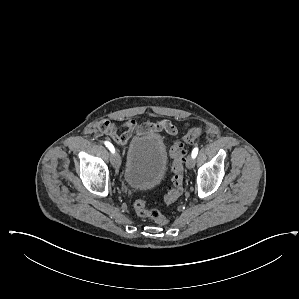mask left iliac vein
Returning <instances> with one entry per match:
<instances>
[{
  "label": "left iliac vein",
  "instance_id": "obj_1",
  "mask_svg": "<svg viewBox=\"0 0 299 299\" xmlns=\"http://www.w3.org/2000/svg\"><path fill=\"white\" fill-rule=\"evenodd\" d=\"M194 165H195L194 158L192 157V155H189L186 159V167L192 169Z\"/></svg>",
  "mask_w": 299,
  "mask_h": 299
}]
</instances>
